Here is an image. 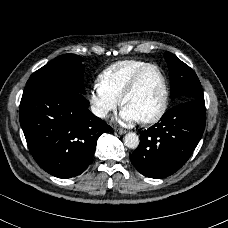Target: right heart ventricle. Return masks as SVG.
Returning a JSON list of instances; mask_svg holds the SVG:
<instances>
[{
    "label": "right heart ventricle",
    "instance_id": "1",
    "mask_svg": "<svg viewBox=\"0 0 228 228\" xmlns=\"http://www.w3.org/2000/svg\"><path fill=\"white\" fill-rule=\"evenodd\" d=\"M148 64L150 62L137 59L114 62L99 73L98 83L105 92L120 100L134 74Z\"/></svg>",
    "mask_w": 228,
    "mask_h": 228
}]
</instances>
